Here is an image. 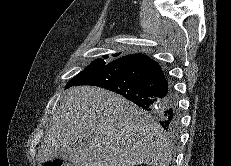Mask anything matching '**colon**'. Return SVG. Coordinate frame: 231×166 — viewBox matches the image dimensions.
I'll list each match as a JSON object with an SVG mask.
<instances>
[{
    "instance_id": "obj_1",
    "label": "colon",
    "mask_w": 231,
    "mask_h": 166,
    "mask_svg": "<svg viewBox=\"0 0 231 166\" xmlns=\"http://www.w3.org/2000/svg\"><path fill=\"white\" fill-rule=\"evenodd\" d=\"M44 166H62V161L61 160L48 161L44 164Z\"/></svg>"
}]
</instances>
